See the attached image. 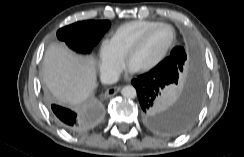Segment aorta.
I'll return each instance as SVG.
<instances>
[{
  "label": "aorta",
  "mask_w": 244,
  "mask_h": 157,
  "mask_svg": "<svg viewBox=\"0 0 244 157\" xmlns=\"http://www.w3.org/2000/svg\"><path fill=\"white\" fill-rule=\"evenodd\" d=\"M121 94L127 99H133L137 95L136 89L131 85L124 86L121 90Z\"/></svg>",
  "instance_id": "1"
}]
</instances>
